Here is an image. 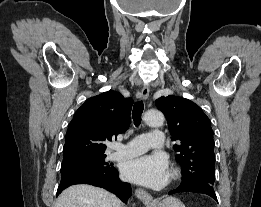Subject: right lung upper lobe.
Returning a JSON list of instances; mask_svg holds the SVG:
<instances>
[{"instance_id":"obj_1","label":"right lung upper lobe","mask_w":261,"mask_h":207,"mask_svg":"<svg viewBox=\"0 0 261 207\" xmlns=\"http://www.w3.org/2000/svg\"><path fill=\"white\" fill-rule=\"evenodd\" d=\"M133 100L116 91L87 99L69 124L63 161L82 156L105 155V141H111L130 125Z\"/></svg>"}]
</instances>
